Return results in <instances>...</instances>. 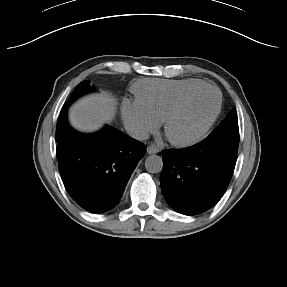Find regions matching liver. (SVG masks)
Listing matches in <instances>:
<instances>
[{"mask_svg": "<svg viewBox=\"0 0 287 287\" xmlns=\"http://www.w3.org/2000/svg\"><path fill=\"white\" fill-rule=\"evenodd\" d=\"M115 104V99L107 93L86 96L70 109V124L82 132L95 131L112 119Z\"/></svg>", "mask_w": 287, "mask_h": 287, "instance_id": "liver-1", "label": "liver"}]
</instances>
